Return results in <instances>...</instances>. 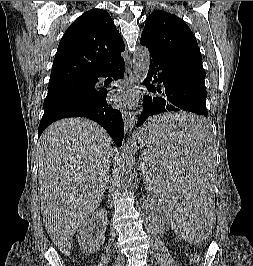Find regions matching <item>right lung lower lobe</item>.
<instances>
[{"instance_id": "right-lung-lower-lobe-1", "label": "right lung lower lobe", "mask_w": 253, "mask_h": 266, "mask_svg": "<svg viewBox=\"0 0 253 266\" xmlns=\"http://www.w3.org/2000/svg\"><path fill=\"white\" fill-rule=\"evenodd\" d=\"M113 75L115 80L124 76V60L119 61L109 70L88 81L95 86V84L98 82V77H107ZM106 96L107 90L105 89L90 90L71 110L55 114L49 119L42 118L38 128V137H40L47 126L56 120L65 117H86L100 124L111 136L114 143L117 146H121L124 136L122 115L119 110L113 109L107 104Z\"/></svg>"}]
</instances>
